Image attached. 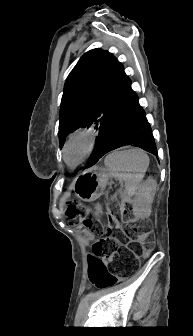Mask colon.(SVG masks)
Segmentation results:
<instances>
[{
    "label": "colon",
    "mask_w": 193,
    "mask_h": 336,
    "mask_svg": "<svg viewBox=\"0 0 193 336\" xmlns=\"http://www.w3.org/2000/svg\"><path fill=\"white\" fill-rule=\"evenodd\" d=\"M84 208L72 204L67 210L71 220L85 216ZM108 222L104 225L97 219H85L84 226L102 238L92 246V268L89 274L90 281L98 288L103 289L117 282V275L111 272L104 261L114 256H120L124 262H133L135 256L129 253L126 245H120L118 232L124 235L126 244L135 246L136 253L148 254L155 248V237L147 222L134 223L128 217L126 208L113 204L107 214Z\"/></svg>",
    "instance_id": "1"
}]
</instances>
